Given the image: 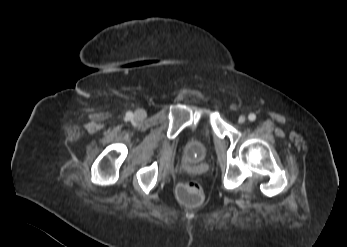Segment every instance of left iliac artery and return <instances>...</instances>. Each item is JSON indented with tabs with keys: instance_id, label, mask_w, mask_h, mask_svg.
Masks as SVG:
<instances>
[{
	"instance_id": "44dca946",
	"label": "left iliac artery",
	"mask_w": 347,
	"mask_h": 247,
	"mask_svg": "<svg viewBox=\"0 0 347 247\" xmlns=\"http://www.w3.org/2000/svg\"><path fill=\"white\" fill-rule=\"evenodd\" d=\"M248 119L250 120V121H255V119H256V115L254 114V113H250L249 115H248Z\"/></svg>"
}]
</instances>
